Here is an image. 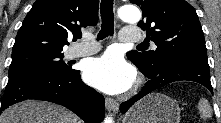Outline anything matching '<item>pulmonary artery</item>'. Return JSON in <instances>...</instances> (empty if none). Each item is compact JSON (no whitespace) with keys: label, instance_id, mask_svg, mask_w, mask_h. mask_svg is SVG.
<instances>
[{"label":"pulmonary artery","instance_id":"obj_1","mask_svg":"<svg viewBox=\"0 0 221 123\" xmlns=\"http://www.w3.org/2000/svg\"><path fill=\"white\" fill-rule=\"evenodd\" d=\"M120 40L125 43H137L143 40V34L136 28H124L120 33ZM100 46L96 42H81L70 48V58L82 57L96 53Z\"/></svg>","mask_w":221,"mask_h":123}]
</instances>
